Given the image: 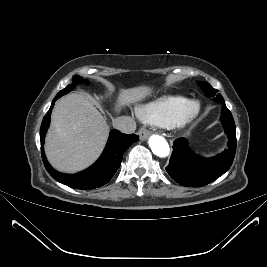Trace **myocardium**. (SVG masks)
<instances>
[{"label":"myocardium","mask_w":267,"mask_h":267,"mask_svg":"<svg viewBox=\"0 0 267 267\" xmlns=\"http://www.w3.org/2000/svg\"><path fill=\"white\" fill-rule=\"evenodd\" d=\"M201 111L202 104L198 100H190L184 105L168 127L171 129L182 128L198 117Z\"/></svg>","instance_id":"1"}]
</instances>
